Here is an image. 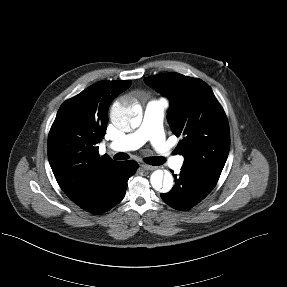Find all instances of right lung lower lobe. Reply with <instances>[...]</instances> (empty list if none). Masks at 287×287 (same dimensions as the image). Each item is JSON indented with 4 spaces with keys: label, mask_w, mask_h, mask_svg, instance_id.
Returning a JSON list of instances; mask_svg holds the SVG:
<instances>
[{
    "label": "right lung lower lobe",
    "mask_w": 287,
    "mask_h": 287,
    "mask_svg": "<svg viewBox=\"0 0 287 287\" xmlns=\"http://www.w3.org/2000/svg\"><path fill=\"white\" fill-rule=\"evenodd\" d=\"M137 168L138 164L133 160L117 162L91 185L83 198L75 203L93 214L110 210L123 199L127 181Z\"/></svg>",
    "instance_id": "1"
}]
</instances>
